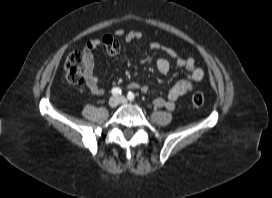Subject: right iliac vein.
<instances>
[{
	"mask_svg": "<svg viewBox=\"0 0 272 198\" xmlns=\"http://www.w3.org/2000/svg\"><path fill=\"white\" fill-rule=\"evenodd\" d=\"M108 104H109V106L112 107V108L116 107V106L119 104V99H118V97L112 96V97L109 99Z\"/></svg>",
	"mask_w": 272,
	"mask_h": 198,
	"instance_id": "right-iliac-vein-1",
	"label": "right iliac vein"
}]
</instances>
